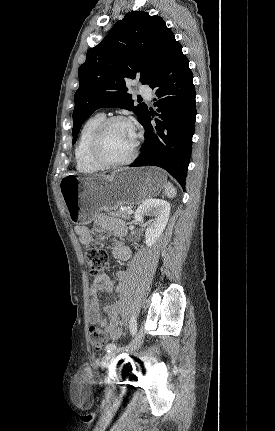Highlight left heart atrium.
<instances>
[{
    "mask_svg": "<svg viewBox=\"0 0 275 431\" xmlns=\"http://www.w3.org/2000/svg\"><path fill=\"white\" fill-rule=\"evenodd\" d=\"M132 129H133V134H134V137H136V134H135L134 128H132Z\"/></svg>",
    "mask_w": 275,
    "mask_h": 431,
    "instance_id": "obj_1",
    "label": "left heart atrium"
}]
</instances>
